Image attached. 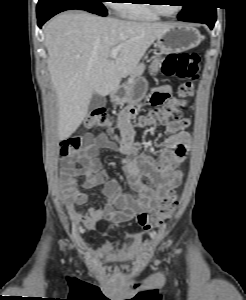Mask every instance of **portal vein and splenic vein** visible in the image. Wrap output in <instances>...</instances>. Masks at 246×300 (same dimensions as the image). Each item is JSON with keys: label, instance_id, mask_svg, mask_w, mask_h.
<instances>
[{"label": "portal vein and splenic vein", "instance_id": "portal-vein-and-splenic-vein-1", "mask_svg": "<svg viewBox=\"0 0 246 300\" xmlns=\"http://www.w3.org/2000/svg\"><path fill=\"white\" fill-rule=\"evenodd\" d=\"M118 53H119V49H112L110 51V57H111V59H115L117 57Z\"/></svg>", "mask_w": 246, "mask_h": 300}]
</instances>
